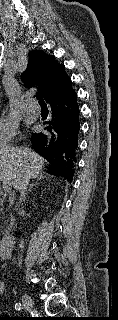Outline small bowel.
Returning a JSON list of instances; mask_svg holds the SVG:
<instances>
[{"instance_id":"small-bowel-1","label":"small bowel","mask_w":118,"mask_h":320,"mask_svg":"<svg viewBox=\"0 0 118 320\" xmlns=\"http://www.w3.org/2000/svg\"><path fill=\"white\" fill-rule=\"evenodd\" d=\"M3 292H4V282L0 278V295L3 294Z\"/></svg>"}]
</instances>
